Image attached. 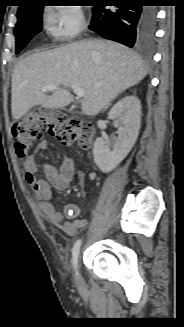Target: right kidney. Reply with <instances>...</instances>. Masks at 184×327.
<instances>
[{
  "instance_id": "1",
  "label": "right kidney",
  "mask_w": 184,
  "mask_h": 327,
  "mask_svg": "<svg viewBox=\"0 0 184 327\" xmlns=\"http://www.w3.org/2000/svg\"><path fill=\"white\" fill-rule=\"evenodd\" d=\"M118 128V139L110 151L107 141L99 137L93 148L94 162L103 173H108L127 156L134 146L141 127V103L136 96L120 99L108 113Z\"/></svg>"
}]
</instances>
